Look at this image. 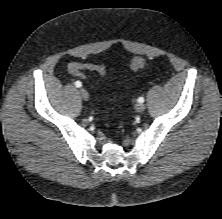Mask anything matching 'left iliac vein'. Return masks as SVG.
<instances>
[{"label":"left iliac vein","instance_id":"1","mask_svg":"<svg viewBox=\"0 0 222 219\" xmlns=\"http://www.w3.org/2000/svg\"><path fill=\"white\" fill-rule=\"evenodd\" d=\"M145 108H146L145 104L140 103V102L135 105V110L137 112H143L145 110Z\"/></svg>","mask_w":222,"mask_h":219}]
</instances>
